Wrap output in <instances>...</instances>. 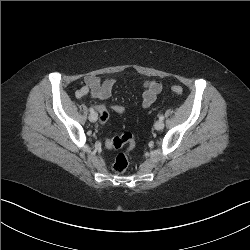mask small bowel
Instances as JSON below:
<instances>
[{
	"mask_svg": "<svg viewBox=\"0 0 250 250\" xmlns=\"http://www.w3.org/2000/svg\"><path fill=\"white\" fill-rule=\"evenodd\" d=\"M115 78H107L101 80L97 76L89 75L84 78V85L76 90V96L82 98L90 94L93 98L99 100L108 99L111 96L112 88L116 84ZM143 94L142 105L144 107L151 106L157 99L162 90V85L157 80H146L142 82ZM104 106H99L100 111Z\"/></svg>",
	"mask_w": 250,
	"mask_h": 250,
	"instance_id": "obj_1",
	"label": "small bowel"
}]
</instances>
